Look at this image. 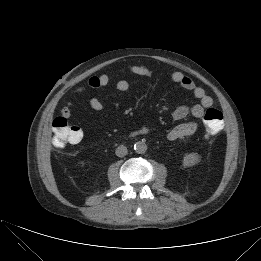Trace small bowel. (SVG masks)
<instances>
[{
    "label": "small bowel",
    "mask_w": 261,
    "mask_h": 261,
    "mask_svg": "<svg viewBox=\"0 0 261 261\" xmlns=\"http://www.w3.org/2000/svg\"><path fill=\"white\" fill-rule=\"evenodd\" d=\"M120 73L129 72L134 75L139 76H148L151 74L149 67L145 65H132L127 68L121 69ZM171 79L173 82L180 85L183 89L191 91L196 99L199 100V103L189 107L187 105L178 106L173 112L172 117L174 120H182L186 118L189 114L192 115L193 119L176 125L170 129L167 133V138L169 140H178L188 136L193 135L199 126V120L204 116L205 110L212 106L213 99L206 93V91L196 85V83L187 75L182 72L175 71L171 74ZM111 81L110 74H101L92 76L89 78L86 84L77 87L76 92L82 93L88 89H97L107 86ZM116 88L121 92H127L130 88L128 81L120 79L116 82ZM89 106L98 112L104 110V104L96 97H92L89 100ZM62 117L69 119L72 115V112L69 107L65 106L61 111ZM149 129L146 126H143L132 132L133 136L143 135L148 133Z\"/></svg>",
    "instance_id": "obj_1"
}]
</instances>
